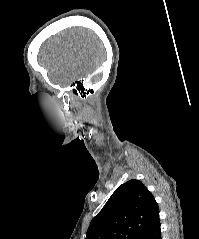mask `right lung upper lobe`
I'll return each instance as SVG.
<instances>
[{"label": "right lung upper lobe", "mask_w": 199, "mask_h": 239, "mask_svg": "<svg viewBox=\"0 0 199 239\" xmlns=\"http://www.w3.org/2000/svg\"><path fill=\"white\" fill-rule=\"evenodd\" d=\"M159 219L151 192L139 181L120 185L93 218L86 239H139Z\"/></svg>", "instance_id": "right-lung-upper-lobe-1"}]
</instances>
